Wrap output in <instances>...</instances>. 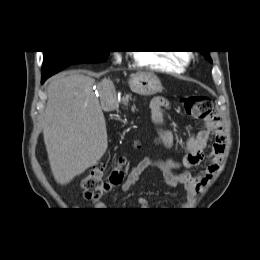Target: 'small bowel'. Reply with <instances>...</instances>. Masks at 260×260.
<instances>
[{"label": "small bowel", "mask_w": 260, "mask_h": 260, "mask_svg": "<svg viewBox=\"0 0 260 260\" xmlns=\"http://www.w3.org/2000/svg\"><path fill=\"white\" fill-rule=\"evenodd\" d=\"M169 107L170 102L164 97H155L150 103L152 123L161 135L166 147H170L173 142L172 134L163 126L164 110ZM211 136L214 140L209 151H206ZM224 151L225 134L222 123L216 115L208 117L205 119V127L187 139L180 158L171 157L166 160L143 158L131 168L119 192L130 190L147 169L155 168L161 171L165 183L169 187L182 186L189 197H195L218 170ZM202 163H205L203 170L197 173L189 171L190 168L197 167ZM119 192L115 194V200ZM136 205L142 210H147L150 207L148 200L144 197L138 198ZM93 208L104 210L107 207L102 201L95 200Z\"/></svg>", "instance_id": "c3829d8e"}]
</instances>
